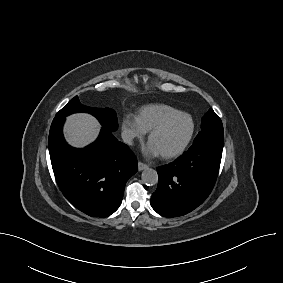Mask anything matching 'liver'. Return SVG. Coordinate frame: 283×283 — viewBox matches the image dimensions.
<instances>
[{"mask_svg":"<svg viewBox=\"0 0 283 283\" xmlns=\"http://www.w3.org/2000/svg\"><path fill=\"white\" fill-rule=\"evenodd\" d=\"M98 121L87 113H77L67 118L64 133L69 144L84 147L93 142L99 133Z\"/></svg>","mask_w":283,"mask_h":283,"instance_id":"liver-1","label":"liver"}]
</instances>
